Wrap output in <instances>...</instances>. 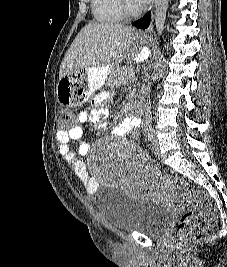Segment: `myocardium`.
Listing matches in <instances>:
<instances>
[{
	"mask_svg": "<svg viewBox=\"0 0 227 267\" xmlns=\"http://www.w3.org/2000/svg\"><path fill=\"white\" fill-rule=\"evenodd\" d=\"M116 4L122 16L127 18L136 17L141 12L139 7L131 6L127 0H116Z\"/></svg>",
	"mask_w": 227,
	"mask_h": 267,
	"instance_id": "1",
	"label": "myocardium"
}]
</instances>
